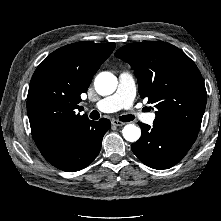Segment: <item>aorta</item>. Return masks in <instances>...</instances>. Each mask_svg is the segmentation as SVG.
<instances>
[{"label":"aorta","instance_id":"1","mask_svg":"<svg viewBox=\"0 0 221 221\" xmlns=\"http://www.w3.org/2000/svg\"><path fill=\"white\" fill-rule=\"evenodd\" d=\"M117 78L110 72L99 73L94 81L95 90L102 96L114 93L117 88ZM123 137L129 142H136L141 136V130L134 124H127L124 126Z\"/></svg>","mask_w":221,"mask_h":221}]
</instances>
